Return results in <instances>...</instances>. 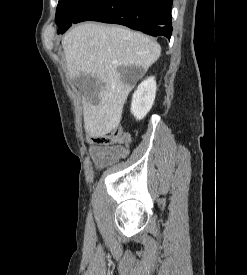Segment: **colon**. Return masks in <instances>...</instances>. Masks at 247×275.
<instances>
[{"mask_svg": "<svg viewBox=\"0 0 247 275\" xmlns=\"http://www.w3.org/2000/svg\"><path fill=\"white\" fill-rule=\"evenodd\" d=\"M89 141L92 144L102 146L113 144L127 145L129 143V136L122 129L116 128L107 134L91 137Z\"/></svg>", "mask_w": 247, "mask_h": 275, "instance_id": "5ec220e1", "label": "colon"}]
</instances>
